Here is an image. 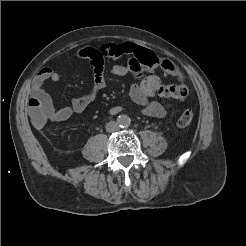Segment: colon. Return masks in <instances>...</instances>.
Masks as SVG:
<instances>
[{"mask_svg": "<svg viewBox=\"0 0 246 246\" xmlns=\"http://www.w3.org/2000/svg\"><path fill=\"white\" fill-rule=\"evenodd\" d=\"M134 62L146 69L161 68L166 74L177 78L178 83L162 84L157 90L161 97L184 98L188 94V88L184 83V77L177 65L169 59L158 57L154 52L143 47H136L133 52ZM28 112L33 124L41 127L48 120L51 113V105L39 97H32L28 102ZM194 118L192 110H184L177 120L179 127L189 126Z\"/></svg>", "mask_w": 246, "mask_h": 246, "instance_id": "obj_1", "label": "colon"}]
</instances>
